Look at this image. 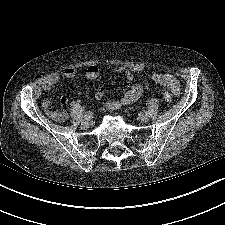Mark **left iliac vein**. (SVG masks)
Returning a JSON list of instances; mask_svg holds the SVG:
<instances>
[{
	"mask_svg": "<svg viewBox=\"0 0 225 225\" xmlns=\"http://www.w3.org/2000/svg\"><path fill=\"white\" fill-rule=\"evenodd\" d=\"M139 120H140L141 122H147V121L149 120V116L146 115V114H140V115H139Z\"/></svg>",
	"mask_w": 225,
	"mask_h": 225,
	"instance_id": "obj_1",
	"label": "left iliac vein"
}]
</instances>
